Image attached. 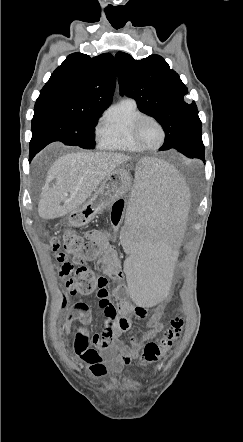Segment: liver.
I'll list each match as a JSON object with an SVG mask.
<instances>
[{"instance_id":"6515ba94","label":"liver","mask_w":243,"mask_h":442,"mask_svg":"<svg viewBox=\"0 0 243 442\" xmlns=\"http://www.w3.org/2000/svg\"><path fill=\"white\" fill-rule=\"evenodd\" d=\"M129 156L113 152L80 151L58 158L50 167L38 205L39 216L55 219L74 211ZM174 172V171H173ZM56 179L53 187L48 183Z\"/></svg>"}]
</instances>
